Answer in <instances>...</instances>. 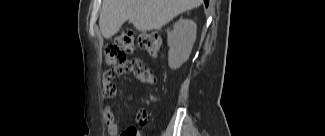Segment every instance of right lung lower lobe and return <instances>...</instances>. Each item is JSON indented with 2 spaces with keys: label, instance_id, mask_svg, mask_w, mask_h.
<instances>
[{
  "label": "right lung lower lobe",
  "instance_id": "obj_1",
  "mask_svg": "<svg viewBox=\"0 0 325 136\" xmlns=\"http://www.w3.org/2000/svg\"><path fill=\"white\" fill-rule=\"evenodd\" d=\"M204 2H205V5L208 6V2L209 1L208 0H204Z\"/></svg>",
  "mask_w": 325,
  "mask_h": 136
}]
</instances>
